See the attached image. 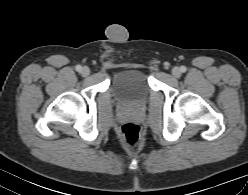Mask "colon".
Instances as JSON below:
<instances>
[{
  "label": "colon",
  "instance_id": "colon-1",
  "mask_svg": "<svg viewBox=\"0 0 248 195\" xmlns=\"http://www.w3.org/2000/svg\"><path fill=\"white\" fill-rule=\"evenodd\" d=\"M120 134L123 142L129 146L136 145L140 140V127L134 122H127L122 125Z\"/></svg>",
  "mask_w": 248,
  "mask_h": 195
}]
</instances>
